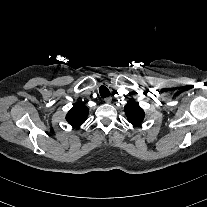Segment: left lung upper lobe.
Masks as SVG:
<instances>
[{
    "instance_id": "left-lung-upper-lobe-1",
    "label": "left lung upper lobe",
    "mask_w": 207,
    "mask_h": 207,
    "mask_svg": "<svg viewBox=\"0 0 207 207\" xmlns=\"http://www.w3.org/2000/svg\"><path fill=\"white\" fill-rule=\"evenodd\" d=\"M124 110H125L127 119L131 124L139 125L144 120V117H145L144 111L133 100H130L126 104Z\"/></svg>"
}]
</instances>
